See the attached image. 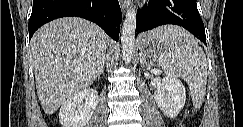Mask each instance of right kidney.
<instances>
[{
	"label": "right kidney",
	"instance_id": "1",
	"mask_svg": "<svg viewBox=\"0 0 243 127\" xmlns=\"http://www.w3.org/2000/svg\"><path fill=\"white\" fill-rule=\"evenodd\" d=\"M98 92L84 89L67 99L61 106L59 120L62 127H84L98 104Z\"/></svg>",
	"mask_w": 243,
	"mask_h": 127
}]
</instances>
